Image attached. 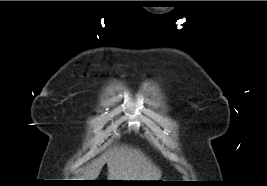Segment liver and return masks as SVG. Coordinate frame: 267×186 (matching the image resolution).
Segmentation results:
<instances>
[{"mask_svg":"<svg viewBox=\"0 0 267 186\" xmlns=\"http://www.w3.org/2000/svg\"><path fill=\"white\" fill-rule=\"evenodd\" d=\"M107 163L109 180L158 181L162 173L141 151L126 146L114 147L86 167L84 178L95 180Z\"/></svg>","mask_w":267,"mask_h":186,"instance_id":"6515ba94","label":"liver"}]
</instances>
